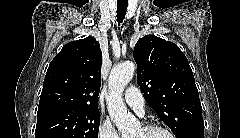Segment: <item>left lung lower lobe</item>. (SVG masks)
I'll list each match as a JSON object with an SVG mask.
<instances>
[{
    "mask_svg": "<svg viewBox=\"0 0 240 138\" xmlns=\"http://www.w3.org/2000/svg\"><path fill=\"white\" fill-rule=\"evenodd\" d=\"M204 127H194L182 135L181 138H203Z\"/></svg>",
    "mask_w": 240,
    "mask_h": 138,
    "instance_id": "obj_1",
    "label": "left lung lower lobe"
}]
</instances>
